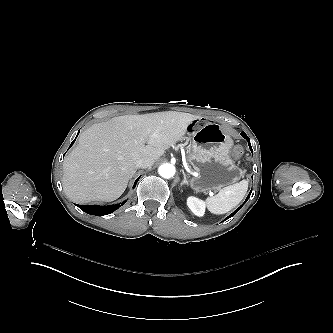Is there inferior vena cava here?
<instances>
[{
  "label": "inferior vena cava",
  "instance_id": "obj_1",
  "mask_svg": "<svg viewBox=\"0 0 333 333\" xmlns=\"http://www.w3.org/2000/svg\"><path fill=\"white\" fill-rule=\"evenodd\" d=\"M154 164V160L152 158H140L137 163L136 167L139 168H148Z\"/></svg>",
  "mask_w": 333,
  "mask_h": 333
}]
</instances>
